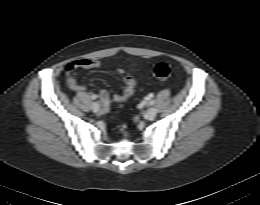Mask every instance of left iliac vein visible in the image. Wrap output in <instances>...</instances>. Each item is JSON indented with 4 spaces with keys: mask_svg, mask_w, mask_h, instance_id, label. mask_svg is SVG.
Returning <instances> with one entry per match:
<instances>
[{
    "mask_svg": "<svg viewBox=\"0 0 260 205\" xmlns=\"http://www.w3.org/2000/svg\"><path fill=\"white\" fill-rule=\"evenodd\" d=\"M156 113H157L156 109H155L154 107H150V108L146 111L145 116H146V118L152 120V119L155 118Z\"/></svg>",
    "mask_w": 260,
    "mask_h": 205,
    "instance_id": "obj_1",
    "label": "left iliac vein"
}]
</instances>
